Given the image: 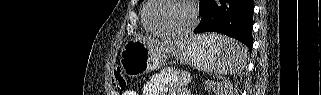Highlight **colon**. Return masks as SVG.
<instances>
[{
  "instance_id": "colon-1",
  "label": "colon",
  "mask_w": 321,
  "mask_h": 95,
  "mask_svg": "<svg viewBox=\"0 0 321 95\" xmlns=\"http://www.w3.org/2000/svg\"><path fill=\"white\" fill-rule=\"evenodd\" d=\"M113 80L117 90L122 91L126 88L127 82L120 68L115 69Z\"/></svg>"
}]
</instances>
